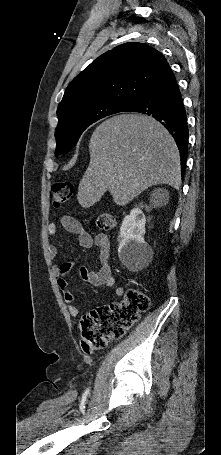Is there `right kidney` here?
<instances>
[{
	"instance_id": "1",
	"label": "right kidney",
	"mask_w": 221,
	"mask_h": 455,
	"mask_svg": "<svg viewBox=\"0 0 221 455\" xmlns=\"http://www.w3.org/2000/svg\"><path fill=\"white\" fill-rule=\"evenodd\" d=\"M146 218L139 208L131 210L122 221L119 232L118 256L129 270L145 264L152 250L144 240Z\"/></svg>"
}]
</instances>
